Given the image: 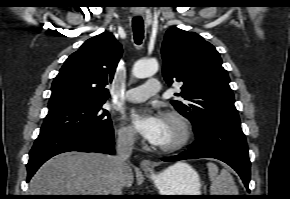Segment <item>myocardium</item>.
<instances>
[{
  "label": "myocardium",
  "mask_w": 290,
  "mask_h": 199,
  "mask_svg": "<svg viewBox=\"0 0 290 199\" xmlns=\"http://www.w3.org/2000/svg\"><path fill=\"white\" fill-rule=\"evenodd\" d=\"M164 117L175 122L180 130L181 137L175 143L168 146H158L157 150L162 153H174L185 148L192 140L193 137V129L189 120L178 111H166L164 113Z\"/></svg>",
  "instance_id": "f54148a6"
}]
</instances>
